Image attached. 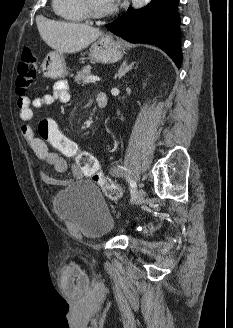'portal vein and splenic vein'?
Wrapping results in <instances>:
<instances>
[{"label":"portal vein and splenic vein","mask_w":233,"mask_h":328,"mask_svg":"<svg viewBox=\"0 0 233 328\" xmlns=\"http://www.w3.org/2000/svg\"><path fill=\"white\" fill-rule=\"evenodd\" d=\"M97 81H100V78L97 77V76H90V77L87 78L88 83H90V82L95 83Z\"/></svg>","instance_id":"obj_1"}]
</instances>
